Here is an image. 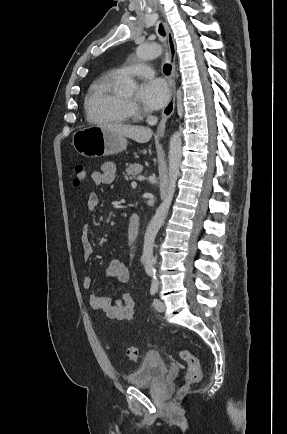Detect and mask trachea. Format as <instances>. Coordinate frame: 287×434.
I'll use <instances>...</instances> for the list:
<instances>
[{
    "instance_id": "obj_1",
    "label": "trachea",
    "mask_w": 287,
    "mask_h": 434,
    "mask_svg": "<svg viewBox=\"0 0 287 434\" xmlns=\"http://www.w3.org/2000/svg\"><path fill=\"white\" fill-rule=\"evenodd\" d=\"M158 32H159V34L162 35V36L165 35V32H164L163 26H162L161 24L159 25ZM171 70H172V66H171L170 64H165V65H164L163 71H164V73H165L166 75H170Z\"/></svg>"
}]
</instances>
